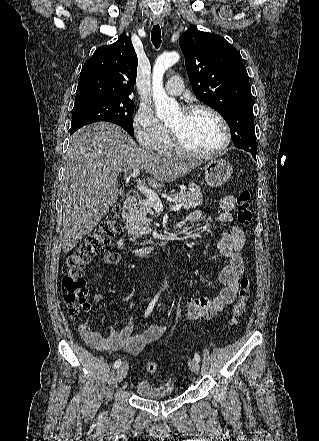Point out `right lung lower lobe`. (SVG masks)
Wrapping results in <instances>:
<instances>
[{"label": "right lung lower lobe", "instance_id": "right-lung-lower-lobe-1", "mask_svg": "<svg viewBox=\"0 0 319 441\" xmlns=\"http://www.w3.org/2000/svg\"><path fill=\"white\" fill-rule=\"evenodd\" d=\"M75 131H70V135H72Z\"/></svg>", "mask_w": 319, "mask_h": 441}]
</instances>
